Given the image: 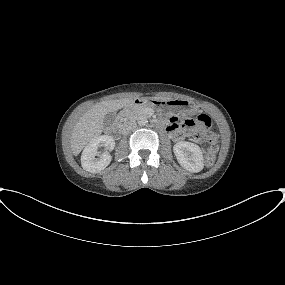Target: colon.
<instances>
[{
	"mask_svg": "<svg viewBox=\"0 0 285 285\" xmlns=\"http://www.w3.org/2000/svg\"><path fill=\"white\" fill-rule=\"evenodd\" d=\"M183 124L192 136L202 144L205 149V163L211 166L215 161L218 143L214 135L205 133L210 126V118L205 114L186 115L183 118Z\"/></svg>",
	"mask_w": 285,
	"mask_h": 285,
	"instance_id": "colon-1",
	"label": "colon"
}]
</instances>
